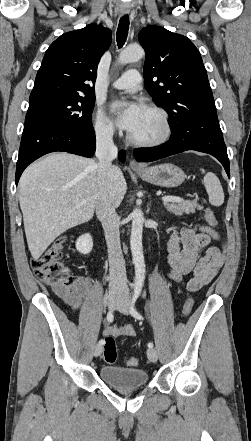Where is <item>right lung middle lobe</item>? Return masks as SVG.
Here are the masks:
<instances>
[{"label":"right lung middle lobe","instance_id":"obj_1","mask_svg":"<svg viewBox=\"0 0 251 441\" xmlns=\"http://www.w3.org/2000/svg\"><path fill=\"white\" fill-rule=\"evenodd\" d=\"M95 96H53L30 101L27 115H37L76 131L91 130Z\"/></svg>","mask_w":251,"mask_h":441}]
</instances>
